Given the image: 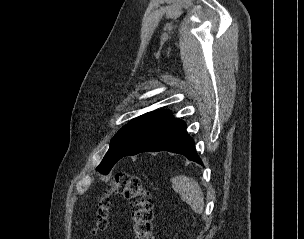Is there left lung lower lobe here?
I'll return each instance as SVG.
<instances>
[{"label":"left lung lower lobe","mask_w":304,"mask_h":239,"mask_svg":"<svg viewBox=\"0 0 304 239\" xmlns=\"http://www.w3.org/2000/svg\"><path fill=\"white\" fill-rule=\"evenodd\" d=\"M170 151L182 154L188 160L202 164L195 151L194 141L186 132V124L180 119H173L141 140L124 156L141 152ZM123 156V157H124Z\"/></svg>","instance_id":"obj_1"}]
</instances>
